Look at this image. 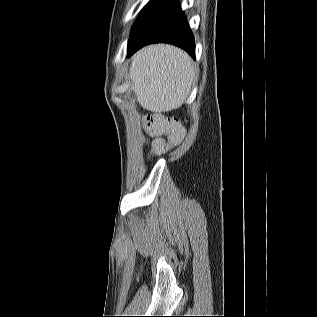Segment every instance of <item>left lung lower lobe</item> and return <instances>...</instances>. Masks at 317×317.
<instances>
[{"label":"left lung lower lobe","instance_id":"0a47b994","mask_svg":"<svg viewBox=\"0 0 317 317\" xmlns=\"http://www.w3.org/2000/svg\"><path fill=\"white\" fill-rule=\"evenodd\" d=\"M152 43H168L185 50L195 59V44L192 32L183 12L175 0H168L129 41L130 57L140 48Z\"/></svg>","mask_w":317,"mask_h":317}]
</instances>
